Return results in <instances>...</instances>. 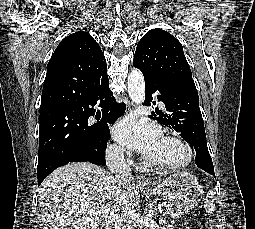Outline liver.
<instances>
[{"mask_svg":"<svg viewBox=\"0 0 255 229\" xmlns=\"http://www.w3.org/2000/svg\"><path fill=\"white\" fill-rule=\"evenodd\" d=\"M139 200L133 178L118 182L87 162L56 169L38 189L39 208L50 229H110L120 205L134 209Z\"/></svg>","mask_w":255,"mask_h":229,"instance_id":"6515ba94","label":"liver"}]
</instances>
